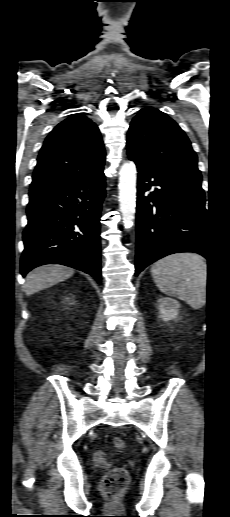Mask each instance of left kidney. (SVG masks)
I'll list each match as a JSON object with an SVG mask.
<instances>
[{"label":"left kidney","instance_id":"5707ae66","mask_svg":"<svg viewBox=\"0 0 230 517\" xmlns=\"http://www.w3.org/2000/svg\"><path fill=\"white\" fill-rule=\"evenodd\" d=\"M158 303L160 318L163 321L176 319L180 308V304L177 300L168 297H161L158 300Z\"/></svg>","mask_w":230,"mask_h":517}]
</instances>
